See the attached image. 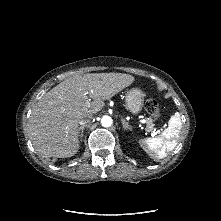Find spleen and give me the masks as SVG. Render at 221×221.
<instances>
[{"mask_svg":"<svg viewBox=\"0 0 221 221\" xmlns=\"http://www.w3.org/2000/svg\"><path fill=\"white\" fill-rule=\"evenodd\" d=\"M181 129V117L180 114L176 112L171 116L168 127L160 136L143 139L141 145L146 149L151 158L163 159L176 147Z\"/></svg>","mask_w":221,"mask_h":221,"instance_id":"spleen-1","label":"spleen"}]
</instances>
